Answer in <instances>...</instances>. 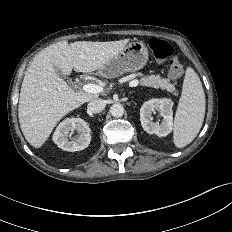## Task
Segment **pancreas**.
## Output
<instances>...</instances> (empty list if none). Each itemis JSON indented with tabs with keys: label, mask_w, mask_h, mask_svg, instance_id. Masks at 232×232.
Returning a JSON list of instances; mask_svg holds the SVG:
<instances>
[{
	"label": "pancreas",
	"mask_w": 232,
	"mask_h": 232,
	"mask_svg": "<svg viewBox=\"0 0 232 232\" xmlns=\"http://www.w3.org/2000/svg\"><path fill=\"white\" fill-rule=\"evenodd\" d=\"M137 75H140V74H137ZM140 84L143 86H147V87H152L156 89L160 88L162 90H167L168 92L177 96L175 86L170 83L169 79L161 78L160 75H150V76L142 77L140 79Z\"/></svg>",
	"instance_id": "obj_1"
}]
</instances>
